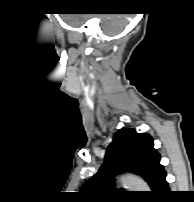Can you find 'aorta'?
<instances>
[{"instance_id": "obj_1", "label": "aorta", "mask_w": 194, "mask_h": 202, "mask_svg": "<svg viewBox=\"0 0 194 202\" xmlns=\"http://www.w3.org/2000/svg\"><path fill=\"white\" fill-rule=\"evenodd\" d=\"M121 183L124 186H127L129 189L135 190V191H148L149 187L147 184L142 181L141 179H138L133 176H123L120 179Z\"/></svg>"}]
</instances>
